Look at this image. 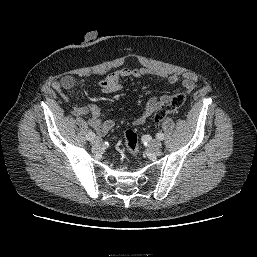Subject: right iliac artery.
I'll use <instances>...</instances> for the list:
<instances>
[{
    "instance_id": "82829eb1",
    "label": "right iliac artery",
    "mask_w": 257,
    "mask_h": 257,
    "mask_svg": "<svg viewBox=\"0 0 257 257\" xmlns=\"http://www.w3.org/2000/svg\"><path fill=\"white\" fill-rule=\"evenodd\" d=\"M95 137H96V134H95L94 132H92V131H89V132L87 133V135H86V139H87L88 141L94 140Z\"/></svg>"
}]
</instances>
